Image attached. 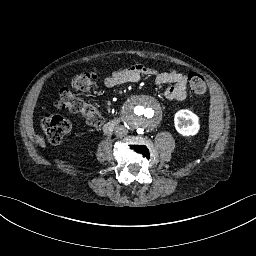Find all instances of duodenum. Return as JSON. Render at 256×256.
I'll return each instance as SVG.
<instances>
[{"label": "duodenum", "mask_w": 256, "mask_h": 256, "mask_svg": "<svg viewBox=\"0 0 256 256\" xmlns=\"http://www.w3.org/2000/svg\"><path fill=\"white\" fill-rule=\"evenodd\" d=\"M119 125H121V120L119 118L110 119L104 123L103 132L107 135H110Z\"/></svg>", "instance_id": "obj_1"}]
</instances>
